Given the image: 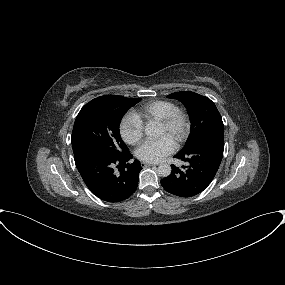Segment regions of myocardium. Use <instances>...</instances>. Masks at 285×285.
<instances>
[{"mask_svg":"<svg viewBox=\"0 0 285 285\" xmlns=\"http://www.w3.org/2000/svg\"><path fill=\"white\" fill-rule=\"evenodd\" d=\"M159 124L165 127L169 131L174 129L177 130V136L175 138L176 144L183 143L189 134L190 130L189 118L187 114L179 108H176L164 119L160 120Z\"/></svg>","mask_w":285,"mask_h":285,"instance_id":"f54148a6","label":"myocardium"}]
</instances>
